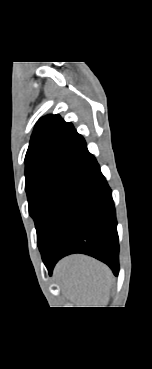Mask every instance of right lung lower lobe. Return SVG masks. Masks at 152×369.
<instances>
[{"label": "right lung lower lobe", "instance_id": "right-lung-lower-lobe-1", "mask_svg": "<svg viewBox=\"0 0 152 369\" xmlns=\"http://www.w3.org/2000/svg\"><path fill=\"white\" fill-rule=\"evenodd\" d=\"M49 274L56 262L72 253H84L119 272V242L112 191L93 155L73 175L54 210L39 244Z\"/></svg>", "mask_w": 152, "mask_h": 369}]
</instances>
